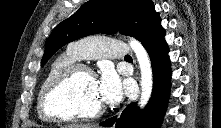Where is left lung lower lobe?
Returning <instances> with one entry per match:
<instances>
[{
	"mask_svg": "<svg viewBox=\"0 0 221 128\" xmlns=\"http://www.w3.org/2000/svg\"><path fill=\"white\" fill-rule=\"evenodd\" d=\"M165 30L160 20L154 25L146 40L142 43L149 53L153 70V92L150 101L141 112L137 103L129 104L119 118L112 117L101 126L115 128H159L164 117L170 92V60L168 46L164 40Z\"/></svg>",
	"mask_w": 221,
	"mask_h": 128,
	"instance_id": "1",
	"label": "left lung lower lobe"
}]
</instances>
